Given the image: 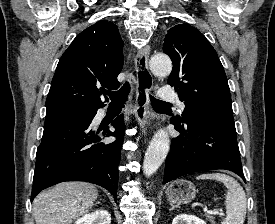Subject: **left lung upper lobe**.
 I'll return each instance as SVG.
<instances>
[{
	"label": "left lung upper lobe",
	"instance_id": "obj_1",
	"mask_svg": "<svg viewBox=\"0 0 275 224\" xmlns=\"http://www.w3.org/2000/svg\"><path fill=\"white\" fill-rule=\"evenodd\" d=\"M163 52L173 63L168 84L185 104L178 121L205 117L234 123L227 77L206 37L188 23L176 25L165 36Z\"/></svg>",
	"mask_w": 275,
	"mask_h": 224
}]
</instances>
